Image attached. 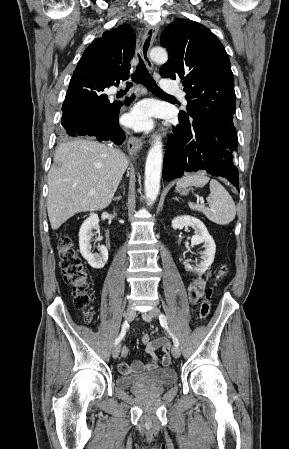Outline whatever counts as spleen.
Here are the masks:
<instances>
[{"mask_svg": "<svg viewBox=\"0 0 289 449\" xmlns=\"http://www.w3.org/2000/svg\"><path fill=\"white\" fill-rule=\"evenodd\" d=\"M210 181V194L207 197L209 207L189 202L190 209L202 212L210 221L227 225L236 216L235 203L228 191L215 179H211L204 173L188 174L177 182V187H203Z\"/></svg>", "mask_w": 289, "mask_h": 449, "instance_id": "3e777b00", "label": "spleen"}]
</instances>
